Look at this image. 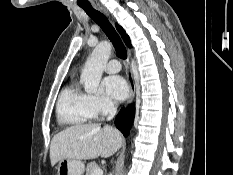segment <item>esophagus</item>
<instances>
[{"instance_id":"esophagus-1","label":"esophagus","mask_w":233,"mask_h":175,"mask_svg":"<svg viewBox=\"0 0 233 175\" xmlns=\"http://www.w3.org/2000/svg\"><path fill=\"white\" fill-rule=\"evenodd\" d=\"M102 9V7H101ZM132 56H131V52L128 51V55H127V60H126V75H127V80H128V84H129V88H130V93H129V98L127 101V104L131 103L135 97V93H136V87H135V82H134V78H133V73H132Z\"/></svg>"}]
</instances>
